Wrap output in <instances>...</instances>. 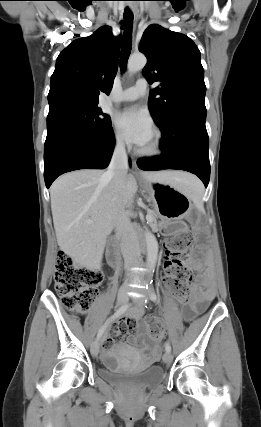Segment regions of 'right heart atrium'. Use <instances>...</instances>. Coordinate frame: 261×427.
I'll use <instances>...</instances> for the list:
<instances>
[{"label":"right heart atrium","instance_id":"right-heart-atrium-1","mask_svg":"<svg viewBox=\"0 0 261 427\" xmlns=\"http://www.w3.org/2000/svg\"><path fill=\"white\" fill-rule=\"evenodd\" d=\"M113 143L115 150L122 152L125 150V142L122 137V135L117 131L114 130L113 132Z\"/></svg>","mask_w":261,"mask_h":427}]
</instances>
